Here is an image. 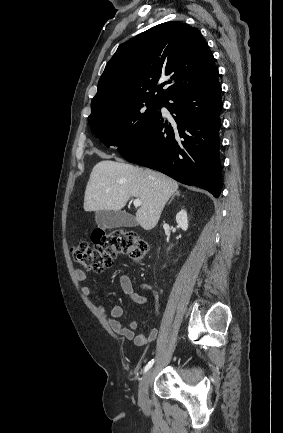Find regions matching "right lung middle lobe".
Listing matches in <instances>:
<instances>
[{
  "mask_svg": "<svg viewBox=\"0 0 283 433\" xmlns=\"http://www.w3.org/2000/svg\"><path fill=\"white\" fill-rule=\"evenodd\" d=\"M162 103L141 100L114 106L89 116L88 122L100 141L122 153L139 138Z\"/></svg>",
  "mask_w": 283,
  "mask_h": 433,
  "instance_id": "1",
  "label": "right lung middle lobe"
}]
</instances>
